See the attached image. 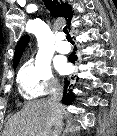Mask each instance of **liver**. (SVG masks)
<instances>
[{
    "instance_id": "6515ba94",
    "label": "liver",
    "mask_w": 117,
    "mask_h": 136,
    "mask_svg": "<svg viewBox=\"0 0 117 136\" xmlns=\"http://www.w3.org/2000/svg\"><path fill=\"white\" fill-rule=\"evenodd\" d=\"M64 106L40 99L26 102L17 114L7 122L3 136H48L52 126L59 127Z\"/></svg>"
}]
</instances>
